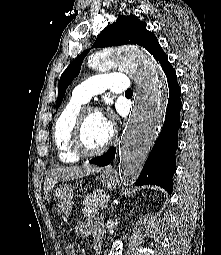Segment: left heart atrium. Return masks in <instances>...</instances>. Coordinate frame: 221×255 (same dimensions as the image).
<instances>
[{"label":"left heart atrium","instance_id":"left-heart-atrium-1","mask_svg":"<svg viewBox=\"0 0 221 255\" xmlns=\"http://www.w3.org/2000/svg\"><path fill=\"white\" fill-rule=\"evenodd\" d=\"M103 120L105 121V123L111 127L112 126V121L110 119L109 114H102Z\"/></svg>","mask_w":221,"mask_h":255}]
</instances>
